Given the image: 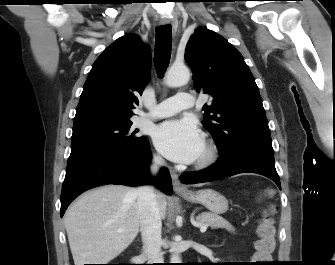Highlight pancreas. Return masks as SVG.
<instances>
[{
    "label": "pancreas",
    "mask_w": 335,
    "mask_h": 265,
    "mask_svg": "<svg viewBox=\"0 0 335 265\" xmlns=\"http://www.w3.org/2000/svg\"><path fill=\"white\" fill-rule=\"evenodd\" d=\"M197 220L201 225L206 224L207 226H210L213 229L225 228L229 232L235 231L234 227L227 220L214 213L209 212L202 213L197 217Z\"/></svg>",
    "instance_id": "obj_1"
}]
</instances>
